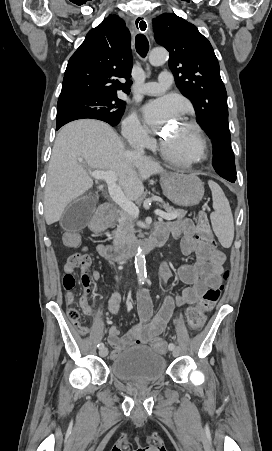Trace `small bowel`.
I'll list each match as a JSON object with an SVG mask.
<instances>
[{"mask_svg": "<svg viewBox=\"0 0 272 451\" xmlns=\"http://www.w3.org/2000/svg\"><path fill=\"white\" fill-rule=\"evenodd\" d=\"M198 227L188 218L177 219L174 221L160 222L157 225L153 235L163 236L165 239L170 234L178 242L183 255L195 254L196 260L192 264L181 265L176 270L170 261H166L160 270L159 281L166 292L165 302L154 318L152 316V304L149 292L144 289L141 291L138 299L137 316L139 322L133 324L132 328L122 337L120 330L111 326L108 330L107 342L112 347L110 358L115 360L122 351L132 345H143L154 341L165 330L176 308L184 305L196 303L207 288L219 287L221 284V274L226 257L216 245L213 247L205 246L198 238ZM101 250V248H100ZM80 252H87L85 246L81 247ZM218 257L214 258L213 254ZM91 265V263H90ZM176 273L178 278L187 284L182 290L181 295L171 296L167 291V282ZM74 273V270H72ZM100 272L93 269L89 274L84 272L81 275V285L83 287V296L80 299V305L85 313L90 312L86 303V298L91 291L92 280H97ZM66 301L69 304L74 303V295H66ZM121 302V293L119 290L111 296L107 310L110 313H116ZM69 311H78L70 308Z\"/></svg>", "mask_w": 272, "mask_h": 451, "instance_id": "1", "label": "small bowel"}]
</instances>
